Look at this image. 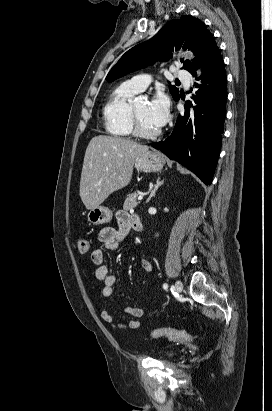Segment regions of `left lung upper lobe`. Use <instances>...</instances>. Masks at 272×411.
Returning a JSON list of instances; mask_svg holds the SVG:
<instances>
[{
	"label": "left lung upper lobe",
	"mask_w": 272,
	"mask_h": 411,
	"mask_svg": "<svg viewBox=\"0 0 272 411\" xmlns=\"http://www.w3.org/2000/svg\"><path fill=\"white\" fill-rule=\"evenodd\" d=\"M174 46L189 48L194 52V62L183 63V69L196 76V70L203 68L213 52L218 48L214 37L204 23L190 15L168 22L152 39L128 50L112 67L106 80L112 82L130 72L149 66L156 61H167ZM173 99L180 98L178 88L169 86Z\"/></svg>",
	"instance_id": "5c2ea615"
}]
</instances>
